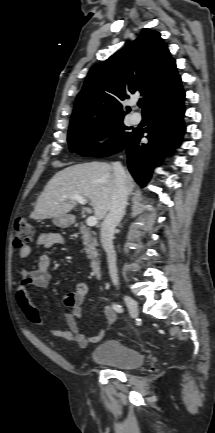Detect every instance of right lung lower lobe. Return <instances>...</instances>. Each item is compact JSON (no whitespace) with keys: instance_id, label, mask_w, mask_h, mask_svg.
<instances>
[{"instance_id":"obj_1","label":"right lung lower lobe","mask_w":215,"mask_h":433,"mask_svg":"<svg viewBox=\"0 0 215 433\" xmlns=\"http://www.w3.org/2000/svg\"><path fill=\"white\" fill-rule=\"evenodd\" d=\"M185 93L181 83L148 105L151 123L145 130L134 129L123 148L128 157V168L136 182L144 187L156 166L165 155L181 144L185 133L183 123ZM147 132V144L140 143ZM119 151V152H120Z\"/></svg>"}]
</instances>
